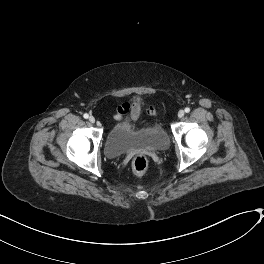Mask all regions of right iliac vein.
<instances>
[{"mask_svg":"<svg viewBox=\"0 0 264 264\" xmlns=\"http://www.w3.org/2000/svg\"><path fill=\"white\" fill-rule=\"evenodd\" d=\"M89 121H90L91 123H95V118H94L93 116H90V117H89Z\"/></svg>","mask_w":264,"mask_h":264,"instance_id":"63e3f726","label":"right iliac vein"}]
</instances>
